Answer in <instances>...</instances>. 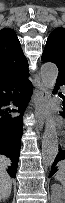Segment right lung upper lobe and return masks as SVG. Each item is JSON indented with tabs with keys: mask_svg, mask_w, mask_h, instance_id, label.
Returning a JSON list of instances; mask_svg holds the SVG:
<instances>
[{
	"mask_svg": "<svg viewBox=\"0 0 65 203\" xmlns=\"http://www.w3.org/2000/svg\"><path fill=\"white\" fill-rule=\"evenodd\" d=\"M29 74L28 62L14 30H0V84Z\"/></svg>",
	"mask_w": 65,
	"mask_h": 203,
	"instance_id": "right-lung-upper-lobe-1",
	"label": "right lung upper lobe"
}]
</instances>
